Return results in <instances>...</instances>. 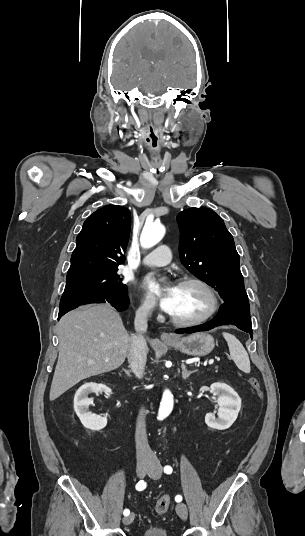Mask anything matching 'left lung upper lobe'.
Masks as SVG:
<instances>
[{
    "instance_id": "1",
    "label": "left lung upper lobe",
    "mask_w": 305,
    "mask_h": 536,
    "mask_svg": "<svg viewBox=\"0 0 305 536\" xmlns=\"http://www.w3.org/2000/svg\"><path fill=\"white\" fill-rule=\"evenodd\" d=\"M182 264L213 286L225 302L246 301L240 257L224 221L208 208H190L177 215Z\"/></svg>"
}]
</instances>
